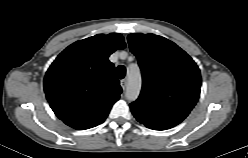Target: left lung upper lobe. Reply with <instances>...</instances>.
Listing matches in <instances>:
<instances>
[{"mask_svg":"<svg viewBox=\"0 0 248 158\" xmlns=\"http://www.w3.org/2000/svg\"><path fill=\"white\" fill-rule=\"evenodd\" d=\"M142 72V91L130 104L146 127L166 130L182 122L200 96L201 75L193 59L172 41L154 34L128 36Z\"/></svg>","mask_w":248,"mask_h":158,"instance_id":"obj_1","label":"left lung upper lobe"}]
</instances>
